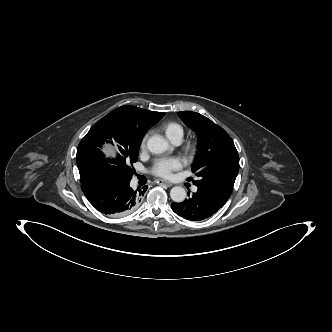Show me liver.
I'll list each match as a JSON object with an SVG mask.
<instances>
[{"instance_id": "1", "label": "liver", "mask_w": 332, "mask_h": 332, "mask_svg": "<svg viewBox=\"0 0 332 332\" xmlns=\"http://www.w3.org/2000/svg\"><path fill=\"white\" fill-rule=\"evenodd\" d=\"M110 151V150H109ZM109 151H104L106 154H110V152Z\"/></svg>"}]
</instances>
